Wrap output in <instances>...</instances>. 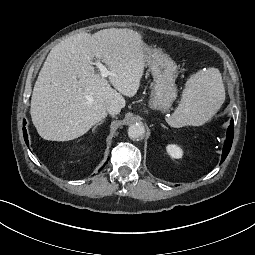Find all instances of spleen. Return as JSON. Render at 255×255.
I'll use <instances>...</instances> for the list:
<instances>
[{
  "mask_svg": "<svg viewBox=\"0 0 255 255\" xmlns=\"http://www.w3.org/2000/svg\"><path fill=\"white\" fill-rule=\"evenodd\" d=\"M224 99L225 89L219 70L199 71L187 80L180 104L166 121L175 128L201 126L220 108Z\"/></svg>",
  "mask_w": 255,
  "mask_h": 255,
  "instance_id": "3e777b00",
  "label": "spleen"
}]
</instances>
